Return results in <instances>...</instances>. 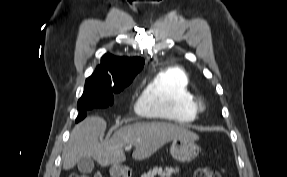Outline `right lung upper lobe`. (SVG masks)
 I'll return each mask as SVG.
<instances>
[{
	"label": "right lung upper lobe",
	"mask_w": 287,
	"mask_h": 177,
	"mask_svg": "<svg viewBox=\"0 0 287 177\" xmlns=\"http://www.w3.org/2000/svg\"><path fill=\"white\" fill-rule=\"evenodd\" d=\"M143 65L142 58L115 57L107 53L88 80L104 86L130 82L141 71Z\"/></svg>",
	"instance_id": "1"
}]
</instances>
